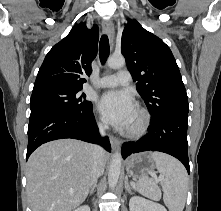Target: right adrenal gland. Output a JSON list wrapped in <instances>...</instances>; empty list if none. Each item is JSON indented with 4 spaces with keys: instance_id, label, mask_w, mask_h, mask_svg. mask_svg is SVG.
Returning <instances> with one entry per match:
<instances>
[{
    "instance_id": "2a0ac1e0",
    "label": "right adrenal gland",
    "mask_w": 221,
    "mask_h": 211,
    "mask_svg": "<svg viewBox=\"0 0 221 211\" xmlns=\"http://www.w3.org/2000/svg\"><path fill=\"white\" fill-rule=\"evenodd\" d=\"M95 188H96V183L92 186L90 190V195L94 193Z\"/></svg>"
}]
</instances>
